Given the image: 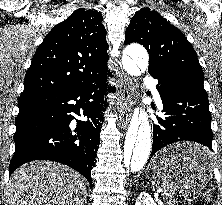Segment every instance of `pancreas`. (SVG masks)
<instances>
[{
    "label": "pancreas",
    "mask_w": 222,
    "mask_h": 205,
    "mask_svg": "<svg viewBox=\"0 0 222 205\" xmlns=\"http://www.w3.org/2000/svg\"><path fill=\"white\" fill-rule=\"evenodd\" d=\"M170 205H175L174 203H171Z\"/></svg>",
    "instance_id": "1"
}]
</instances>
